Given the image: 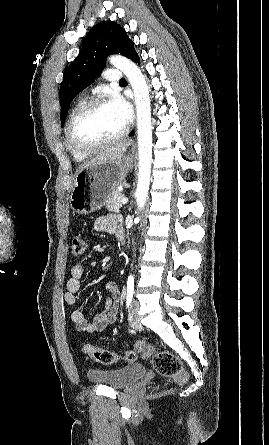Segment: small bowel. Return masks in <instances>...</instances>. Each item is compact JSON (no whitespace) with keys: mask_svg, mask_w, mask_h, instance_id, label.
Instances as JSON below:
<instances>
[{"mask_svg":"<svg viewBox=\"0 0 269 445\" xmlns=\"http://www.w3.org/2000/svg\"><path fill=\"white\" fill-rule=\"evenodd\" d=\"M94 229L98 232L117 236L122 232L118 219L112 215L98 217L94 223ZM84 274L85 266L82 263H76L71 268V277L67 281L64 293L65 302L71 306L78 303L77 295L81 290V279ZM105 288L108 293L105 309L93 321H89L81 310L77 309L71 313V320L77 330L88 333L99 332L116 321L120 301L119 289L114 282L106 283Z\"/></svg>","mask_w":269,"mask_h":445,"instance_id":"small-bowel-1","label":"small bowel"}]
</instances>
